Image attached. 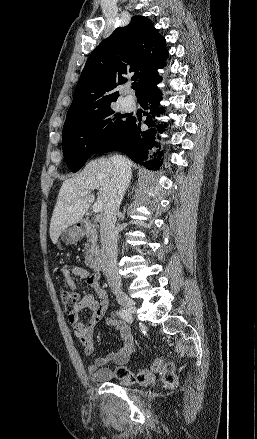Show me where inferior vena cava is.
Masks as SVG:
<instances>
[{"instance_id": "obj_1", "label": "inferior vena cava", "mask_w": 257, "mask_h": 439, "mask_svg": "<svg viewBox=\"0 0 257 439\" xmlns=\"http://www.w3.org/2000/svg\"><path fill=\"white\" fill-rule=\"evenodd\" d=\"M114 176L100 219L101 258L103 271L109 285L121 287V278L117 268V231L116 216L126 188L131 179V163L125 157L116 155L111 158Z\"/></svg>"}]
</instances>
